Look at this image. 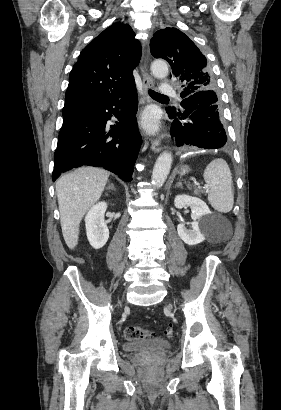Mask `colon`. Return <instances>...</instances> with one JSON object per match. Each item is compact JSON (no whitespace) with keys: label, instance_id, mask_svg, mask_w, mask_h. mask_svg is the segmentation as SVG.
Listing matches in <instances>:
<instances>
[{"label":"colon","instance_id":"5ec220e1","mask_svg":"<svg viewBox=\"0 0 281 410\" xmlns=\"http://www.w3.org/2000/svg\"><path fill=\"white\" fill-rule=\"evenodd\" d=\"M172 333V326H167V328L165 329V335L170 337ZM152 336L153 334L150 331L139 326H127L124 329V337L128 341L150 338Z\"/></svg>","mask_w":281,"mask_h":410}]
</instances>
